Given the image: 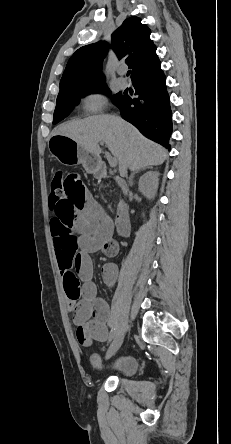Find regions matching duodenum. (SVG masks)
<instances>
[{
	"label": "duodenum",
	"instance_id": "duodenum-1",
	"mask_svg": "<svg viewBox=\"0 0 231 444\" xmlns=\"http://www.w3.org/2000/svg\"><path fill=\"white\" fill-rule=\"evenodd\" d=\"M99 173L104 175L105 174V169L102 167L99 170ZM118 183L120 185V187L122 188V190L124 192H127V186L125 184V182L118 180ZM114 227L116 230V233L119 236H128L130 234V221H129V217L127 215V213L122 209L119 211V213L117 214L115 220H114Z\"/></svg>",
	"mask_w": 231,
	"mask_h": 444
}]
</instances>
